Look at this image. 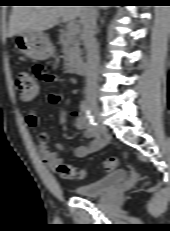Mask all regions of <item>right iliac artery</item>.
<instances>
[{
  "label": "right iliac artery",
  "mask_w": 170,
  "mask_h": 231,
  "mask_svg": "<svg viewBox=\"0 0 170 231\" xmlns=\"http://www.w3.org/2000/svg\"><path fill=\"white\" fill-rule=\"evenodd\" d=\"M81 114L87 122V126L97 137H99V130L97 123L94 121L93 116L90 113L89 105L86 100H83L80 105Z\"/></svg>",
  "instance_id": "right-iliac-artery-1"
}]
</instances>
